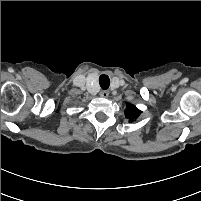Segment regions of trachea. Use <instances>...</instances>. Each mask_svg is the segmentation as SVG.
<instances>
[{"mask_svg": "<svg viewBox=\"0 0 201 201\" xmlns=\"http://www.w3.org/2000/svg\"><path fill=\"white\" fill-rule=\"evenodd\" d=\"M99 83L102 89L106 90L109 88L110 85V79L107 75H101L99 77Z\"/></svg>", "mask_w": 201, "mask_h": 201, "instance_id": "3493384b", "label": "trachea"}]
</instances>
